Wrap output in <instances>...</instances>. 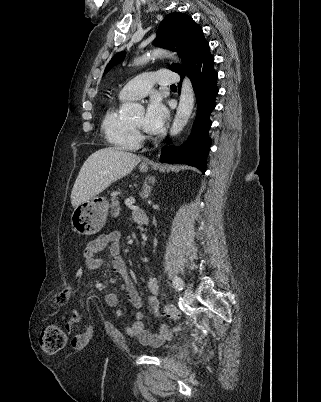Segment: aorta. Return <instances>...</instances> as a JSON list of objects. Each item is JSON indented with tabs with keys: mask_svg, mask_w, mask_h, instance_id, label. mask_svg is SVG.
Masks as SVG:
<instances>
[{
	"mask_svg": "<svg viewBox=\"0 0 321 402\" xmlns=\"http://www.w3.org/2000/svg\"><path fill=\"white\" fill-rule=\"evenodd\" d=\"M161 56H165V57L173 59L176 62H179V59L175 53H172V52L164 50V49L156 48L150 52H147L146 54L142 55L141 57L137 58L135 60V65H143V64L147 63L149 60L155 59V58H158ZM194 99H195L194 91H193L191 81L189 78L186 77V78H184L183 83H182L179 105L177 108L175 118L173 120L172 127L170 129L171 136L178 135L183 130V128L186 126V124L188 123V120L193 111ZM121 110L124 113H127L129 115H134L137 112H139L140 110H142V107L139 104L126 103V104L122 105Z\"/></svg>",
	"mask_w": 321,
	"mask_h": 402,
	"instance_id": "aorta-1",
	"label": "aorta"
}]
</instances>
